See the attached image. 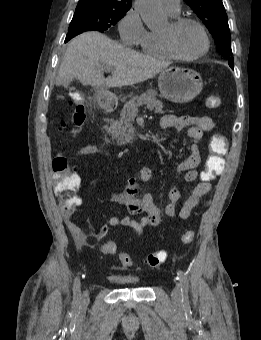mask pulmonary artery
Here are the masks:
<instances>
[{
    "label": "pulmonary artery",
    "mask_w": 261,
    "mask_h": 340,
    "mask_svg": "<svg viewBox=\"0 0 261 340\" xmlns=\"http://www.w3.org/2000/svg\"><path fill=\"white\" fill-rule=\"evenodd\" d=\"M162 7L171 16H177L180 12V0H160Z\"/></svg>",
    "instance_id": "e3ab8cb5"
}]
</instances>
